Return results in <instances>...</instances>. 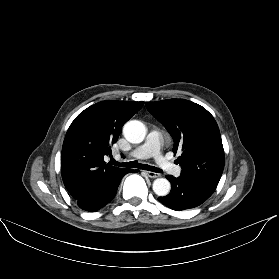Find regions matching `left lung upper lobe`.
<instances>
[{"mask_svg": "<svg viewBox=\"0 0 279 279\" xmlns=\"http://www.w3.org/2000/svg\"><path fill=\"white\" fill-rule=\"evenodd\" d=\"M148 111L164 125L174 140L173 152L181 177L214 192L221 178L225 157L218 125L202 106L184 99L146 103Z\"/></svg>", "mask_w": 279, "mask_h": 279, "instance_id": "1", "label": "left lung upper lobe"}]
</instances>
